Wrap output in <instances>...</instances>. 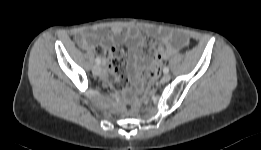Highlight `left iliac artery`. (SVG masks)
Returning <instances> with one entry per match:
<instances>
[{
  "label": "left iliac artery",
  "mask_w": 261,
  "mask_h": 150,
  "mask_svg": "<svg viewBox=\"0 0 261 150\" xmlns=\"http://www.w3.org/2000/svg\"><path fill=\"white\" fill-rule=\"evenodd\" d=\"M163 72H164V73H168V72H169V68H168V67H164V68H163Z\"/></svg>",
  "instance_id": "left-iliac-artery-1"
}]
</instances>
